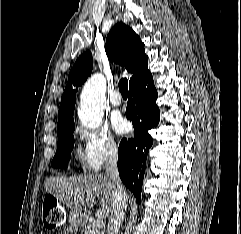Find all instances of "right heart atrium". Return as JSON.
I'll return each instance as SVG.
<instances>
[{"mask_svg":"<svg viewBox=\"0 0 241 234\" xmlns=\"http://www.w3.org/2000/svg\"><path fill=\"white\" fill-rule=\"evenodd\" d=\"M76 132L84 144L83 162L88 170L98 171L117 157L118 142L106 127L89 129L78 126Z\"/></svg>","mask_w":241,"mask_h":234,"instance_id":"obj_1","label":"right heart atrium"}]
</instances>
